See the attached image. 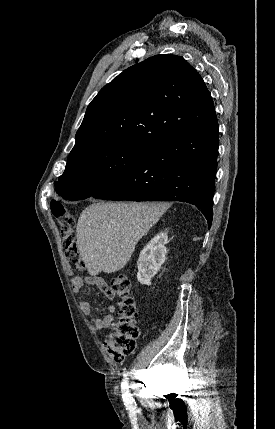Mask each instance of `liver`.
<instances>
[{
	"instance_id": "1",
	"label": "liver",
	"mask_w": 275,
	"mask_h": 429,
	"mask_svg": "<svg viewBox=\"0 0 275 429\" xmlns=\"http://www.w3.org/2000/svg\"><path fill=\"white\" fill-rule=\"evenodd\" d=\"M165 210V204L156 202H97L86 207L77 223V245L88 273L123 269Z\"/></svg>"
}]
</instances>
